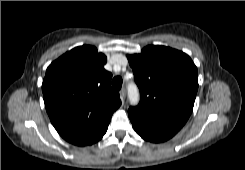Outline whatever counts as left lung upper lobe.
I'll use <instances>...</instances> for the list:
<instances>
[{
    "label": "left lung upper lobe",
    "instance_id": "5c2ea615",
    "mask_svg": "<svg viewBox=\"0 0 245 170\" xmlns=\"http://www.w3.org/2000/svg\"><path fill=\"white\" fill-rule=\"evenodd\" d=\"M140 90V103L129 111L182 128L194 106L198 89L197 68L178 50L150 45L128 55Z\"/></svg>",
    "mask_w": 245,
    "mask_h": 170
}]
</instances>
